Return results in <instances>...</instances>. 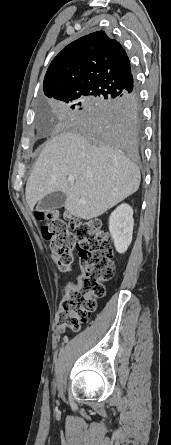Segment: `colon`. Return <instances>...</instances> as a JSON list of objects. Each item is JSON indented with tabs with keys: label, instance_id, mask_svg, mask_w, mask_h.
<instances>
[{
	"label": "colon",
	"instance_id": "5ec220e1",
	"mask_svg": "<svg viewBox=\"0 0 171 445\" xmlns=\"http://www.w3.org/2000/svg\"><path fill=\"white\" fill-rule=\"evenodd\" d=\"M39 217L44 221L42 238L61 271L71 269L73 251L78 250L80 274L62 290L56 324L59 331L79 330L105 295L103 281L114 274L110 235L97 218L67 222L55 211L40 212Z\"/></svg>",
	"mask_w": 171,
	"mask_h": 445
}]
</instances>
